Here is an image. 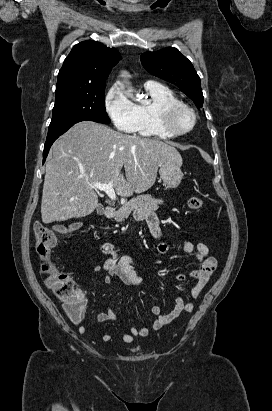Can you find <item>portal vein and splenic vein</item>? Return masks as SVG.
<instances>
[{"mask_svg":"<svg viewBox=\"0 0 272 411\" xmlns=\"http://www.w3.org/2000/svg\"><path fill=\"white\" fill-rule=\"evenodd\" d=\"M92 185L100 190L104 191L111 200H116V194L114 191V183L113 181L109 182L108 184H101V183H92Z\"/></svg>","mask_w":272,"mask_h":411,"instance_id":"portal-vein-and-splenic-vein-1","label":"portal vein and splenic vein"}]
</instances>
